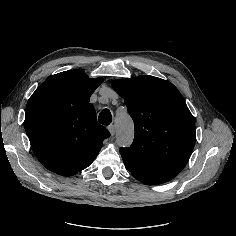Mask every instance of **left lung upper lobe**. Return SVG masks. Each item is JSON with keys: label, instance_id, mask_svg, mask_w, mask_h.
Masks as SVG:
<instances>
[{"label": "left lung upper lobe", "instance_id": "obj_1", "mask_svg": "<svg viewBox=\"0 0 236 236\" xmlns=\"http://www.w3.org/2000/svg\"><path fill=\"white\" fill-rule=\"evenodd\" d=\"M112 87L135 126L132 145L120 149L126 168L154 184L171 180L188 162L196 139L183 96L172 83L153 76L114 80Z\"/></svg>", "mask_w": 236, "mask_h": 236}]
</instances>
